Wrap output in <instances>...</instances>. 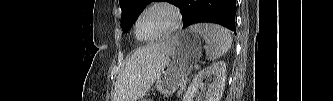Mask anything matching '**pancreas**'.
Segmentation results:
<instances>
[{"instance_id":"1","label":"pancreas","mask_w":333,"mask_h":101,"mask_svg":"<svg viewBox=\"0 0 333 101\" xmlns=\"http://www.w3.org/2000/svg\"><path fill=\"white\" fill-rule=\"evenodd\" d=\"M186 82H187V80H185L184 82L181 83L180 90L177 93L178 96H180L182 94V92L184 91V89L186 88Z\"/></svg>"}]
</instances>
